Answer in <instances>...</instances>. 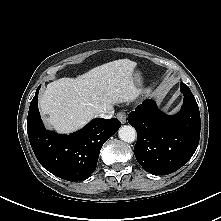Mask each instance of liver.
I'll return each mask as SVG.
<instances>
[{
  "mask_svg": "<svg viewBox=\"0 0 221 221\" xmlns=\"http://www.w3.org/2000/svg\"><path fill=\"white\" fill-rule=\"evenodd\" d=\"M135 68V62L120 59L49 83L39 99L46 123L59 133H71L114 105L134 100L141 92Z\"/></svg>",
  "mask_w": 221,
  "mask_h": 221,
  "instance_id": "obj_1",
  "label": "liver"
}]
</instances>
